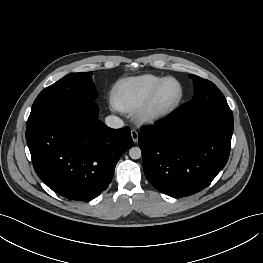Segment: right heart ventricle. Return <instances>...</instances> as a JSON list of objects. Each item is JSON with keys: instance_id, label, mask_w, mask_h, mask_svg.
<instances>
[{"instance_id": "obj_1", "label": "right heart ventricle", "mask_w": 263, "mask_h": 263, "mask_svg": "<svg viewBox=\"0 0 263 263\" xmlns=\"http://www.w3.org/2000/svg\"><path fill=\"white\" fill-rule=\"evenodd\" d=\"M164 78L153 74H144L118 81L112 89L114 106L124 112L137 110Z\"/></svg>"}]
</instances>
